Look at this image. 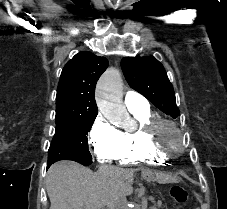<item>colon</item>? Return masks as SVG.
Instances as JSON below:
<instances>
[{
  "mask_svg": "<svg viewBox=\"0 0 227 209\" xmlns=\"http://www.w3.org/2000/svg\"><path fill=\"white\" fill-rule=\"evenodd\" d=\"M172 196L178 203H185L188 198V192L183 186H174L172 188Z\"/></svg>",
  "mask_w": 227,
  "mask_h": 209,
  "instance_id": "1",
  "label": "colon"
}]
</instances>
